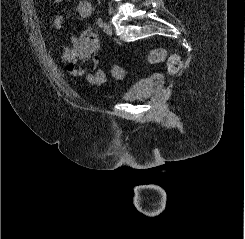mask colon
<instances>
[{
    "label": "colon",
    "instance_id": "1",
    "mask_svg": "<svg viewBox=\"0 0 245 239\" xmlns=\"http://www.w3.org/2000/svg\"><path fill=\"white\" fill-rule=\"evenodd\" d=\"M165 51L163 49L152 50L148 55V61L152 64L160 63L165 59ZM167 70L170 74L178 73L182 67V60L178 55H170L166 59ZM113 73L116 77H122L124 70L121 66L116 65L113 68Z\"/></svg>",
    "mask_w": 245,
    "mask_h": 239
}]
</instances>
